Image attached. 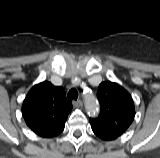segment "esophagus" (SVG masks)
<instances>
[{
    "label": "esophagus",
    "instance_id": "obj_1",
    "mask_svg": "<svg viewBox=\"0 0 160 158\" xmlns=\"http://www.w3.org/2000/svg\"><path fill=\"white\" fill-rule=\"evenodd\" d=\"M73 104L77 107H82L83 106V102L81 99H78L77 101H74Z\"/></svg>",
    "mask_w": 160,
    "mask_h": 158
}]
</instances>
